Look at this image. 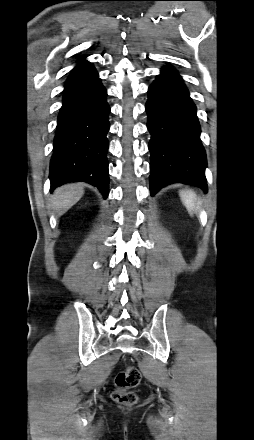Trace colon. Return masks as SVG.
I'll return each mask as SVG.
<instances>
[{"label": "colon", "mask_w": 254, "mask_h": 440, "mask_svg": "<svg viewBox=\"0 0 254 440\" xmlns=\"http://www.w3.org/2000/svg\"><path fill=\"white\" fill-rule=\"evenodd\" d=\"M140 372L137 368L130 366L118 372L114 379L115 389L112 398L124 405H133L137 402V395L132 391L140 382Z\"/></svg>", "instance_id": "colon-1"}]
</instances>
